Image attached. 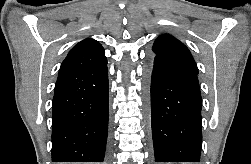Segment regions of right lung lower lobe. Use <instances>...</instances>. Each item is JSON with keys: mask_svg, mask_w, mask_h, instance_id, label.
Segmentation results:
<instances>
[{"mask_svg": "<svg viewBox=\"0 0 251 164\" xmlns=\"http://www.w3.org/2000/svg\"><path fill=\"white\" fill-rule=\"evenodd\" d=\"M106 64L57 79L52 104L53 162L108 160Z\"/></svg>", "mask_w": 251, "mask_h": 164, "instance_id": "1", "label": "right lung lower lobe"}]
</instances>
